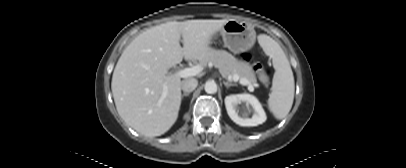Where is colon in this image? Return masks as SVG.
Wrapping results in <instances>:
<instances>
[{"label": "colon", "instance_id": "obj_1", "mask_svg": "<svg viewBox=\"0 0 406 168\" xmlns=\"http://www.w3.org/2000/svg\"><path fill=\"white\" fill-rule=\"evenodd\" d=\"M244 57H245L246 59H251V58H252V55H251V53L246 52V53H244ZM254 68H255V70L258 72L261 81H262L264 84H268L269 81H270V74H269V72L264 68V64H263L262 62H260V61H256V62L254 63Z\"/></svg>", "mask_w": 406, "mask_h": 168}]
</instances>
